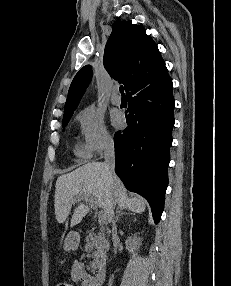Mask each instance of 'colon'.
<instances>
[{
	"mask_svg": "<svg viewBox=\"0 0 231 286\" xmlns=\"http://www.w3.org/2000/svg\"><path fill=\"white\" fill-rule=\"evenodd\" d=\"M56 286H72V285L67 282H61V283H58Z\"/></svg>",
	"mask_w": 231,
	"mask_h": 286,
	"instance_id": "obj_1",
	"label": "colon"
}]
</instances>
